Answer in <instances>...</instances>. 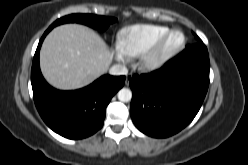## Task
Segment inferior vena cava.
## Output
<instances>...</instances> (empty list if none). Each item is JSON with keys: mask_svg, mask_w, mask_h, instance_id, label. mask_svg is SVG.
<instances>
[{"mask_svg": "<svg viewBox=\"0 0 248 165\" xmlns=\"http://www.w3.org/2000/svg\"><path fill=\"white\" fill-rule=\"evenodd\" d=\"M109 73L111 75H127L128 70L124 65L117 64L109 69Z\"/></svg>", "mask_w": 248, "mask_h": 165, "instance_id": "602c4592", "label": "inferior vena cava"}]
</instances>
